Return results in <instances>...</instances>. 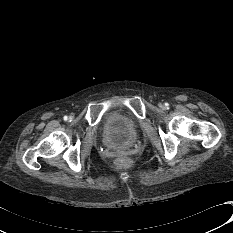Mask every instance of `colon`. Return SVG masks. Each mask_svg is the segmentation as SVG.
Returning <instances> with one entry per match:
<instances>
[{"instance_id": "obj_1", "label": "colon", "mask_w": 233, "mask_h": 233, "mask_svg": "<svg viewBox=\"0 0 233 233\" xmlns=\"http://www.w3.org/2000/svg\"><path fill=\"white\" fill-rule=\"evenodd\" d=\"M125 162H126V160L124 158H120V159L117 160L118 165H124Z\"/></svg>"}]
</instances>
